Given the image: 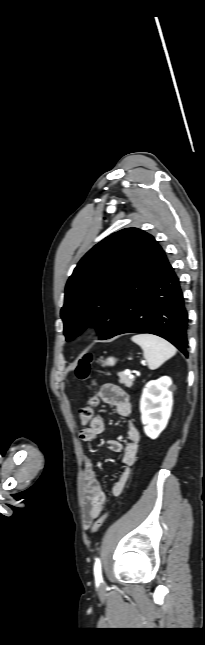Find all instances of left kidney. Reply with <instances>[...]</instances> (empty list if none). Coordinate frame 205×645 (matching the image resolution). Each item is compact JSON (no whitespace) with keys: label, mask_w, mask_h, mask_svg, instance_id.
Here are the masks:
<instances>
[{"label":"left kidney","mask_w":205,"mask_h":645,"mask_svg":"<svg viewBox=\"0 0 205 645\" xmlns=\"http://www.w3.org/2000/svg\"><path fill=\"white\" fill-rule=\"evenodd\" d=\"M172 381L164 376L148 382L140 399L141 420L145 434L155 439L165 429L171 415L173 399L169 390Z\"/></svg>","instance_id":"obj_1"}]
</instances>
